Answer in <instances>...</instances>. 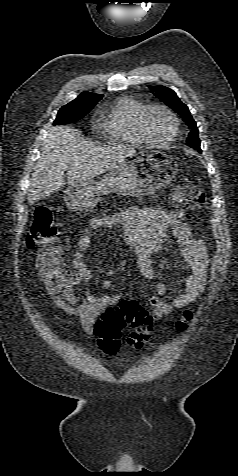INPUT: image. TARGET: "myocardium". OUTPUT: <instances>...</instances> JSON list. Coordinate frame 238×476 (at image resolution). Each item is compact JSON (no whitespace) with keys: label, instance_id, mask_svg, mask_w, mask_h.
Returning a JSON list of instances; mask_svg holds the SVG:
<instances>
[{"label":"myocardium","instance_id":"myocardium-1","mask_svg":"<svg viewBox=\"0 0 238 476\" xmlns=\"http://www.w3.org/2000/svg\"><path fill=\"white\" fill-rule=\"evenodd\" d=\"M154 109H160V110L164 111L170 117V119L172 120L173 125H174V131H173V134L171 135V137L169 139L158 140L150 134V132L147 128V117H148L149 113ZM138 125H139V129H140L142 135L144 136V138L148 142L156 144V145H167V144L172 143L175 140V138L177 137V135L179 133V128H180L179 120H178L176 114L169 107H167L166 105L161 104V103H151L149 105H146L141 110V112L139 114Z\"/></svg>","mask_w":238,"mask_h":476}]
</instances>
